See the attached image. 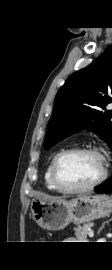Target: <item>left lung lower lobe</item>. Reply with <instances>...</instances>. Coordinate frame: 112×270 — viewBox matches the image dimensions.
<instances>
[{"instance_id": "obj_1", "label": "left lung lower lobe", "mask_w": 112, "mask_h": 270, "mask_svg": "<svg viewBox=\"0 0 112 270\" xmlns=\"http://www.w3.org/2000/svg\"><path fill=\"white\" fill-rule=\"evenodd\" d=\"M96 193H112V176L101 185L96 187Z\"/></svg>"}]
</instances>
